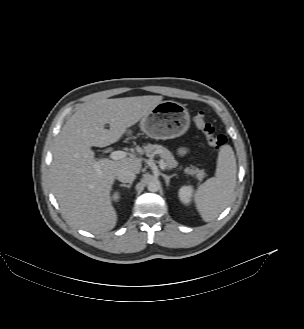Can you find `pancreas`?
<instances>
[{
    "mask_svg": "<svg viewBox=\"0 0 304 329\" xmlns=\"http://www.w3.org/2000/svg\"><path fill=\"white\" fill-rule=\"evenodd\" d=\"M141 152L146 153V155L159 154L164 159L168 169H173L178 165L172 153L162 145L147 144L143 146ZM185 173L195 176L199 181H202L207 176L204 170H200L194 166L185 168Z\"/></svg>",
    "mask_w": 304,
    "mask_h": 329,
    "instance_id": "1",
    "label": "pancreas"
}]
</instances>
